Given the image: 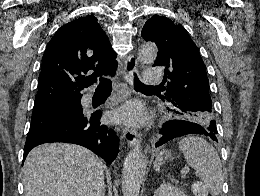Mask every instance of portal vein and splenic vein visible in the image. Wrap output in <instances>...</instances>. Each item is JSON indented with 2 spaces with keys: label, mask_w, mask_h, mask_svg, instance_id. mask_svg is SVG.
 Returning <instances> with one entry per match:
<instances>
[{
  "label": "portal vein and splenic vein",
  "mask_w": 260,
  "mask_h": 196,
  "mask_svg": "<svg viewBox=\"0 0 260 196\" xmlns=\"http://www.w3.org/2000/svg\"><path fill=\"white\" fill-rule=\"evenodd\" d=\"M190 168L188 166H185V168H182L181 174L182 176H186L187 172H189Z\"/></svg>",
  "instance_id": "18ae733b"
}]
</instances>
